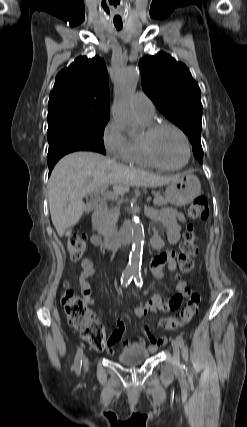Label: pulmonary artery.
Listing matches in <instances>:
<instances>
[{
	"label": "pulmonary artery",
	"mask_w": 247,
	"mask_h": 427,
	"mask_svg": "<svg viewBox=\"0 0 247 427\" xmlns=\"http://www.w3.org/2000/svg\"><path fill=\"white\" fill-rule=\"evenodd\" d=\"M133 107L137 116L142 120H152L155 115V106L151 99L142 91L133 96Z\"/></svg>",
	"instance_id": "e3ab8cb5"
}]
</instances>
